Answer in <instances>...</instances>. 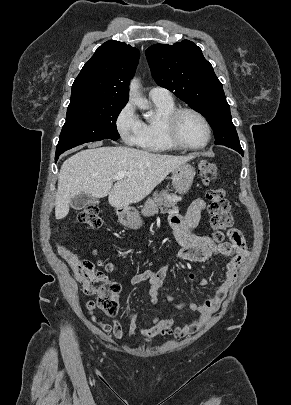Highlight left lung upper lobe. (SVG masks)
<instances>
[{"label": "left lung upper lobe", "mask_w": 291, "mask_h": 405, "mask_svg": "<svg viewBox=\"0 0 291 405\" xmlns=\"http://www.w3.org/2000/svg\"><path fill=\"white\" fill-rule=\"evenodd\" d=\"M145 54L155 82L207 118L215 144L241 148L222 84L195 43L155 44Z\"/></svg>", "instance_id": "1"}]
</instances>
